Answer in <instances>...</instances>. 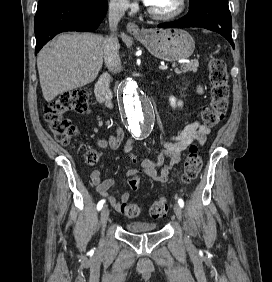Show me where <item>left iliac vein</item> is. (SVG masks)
Here are the masks:
<instances>
[{"mask_svg":"<svg viewBox=\"0 0 272 282\" xmlns=\"http://www.w3.org/2000/svg\"><path fill=\"white\" fill-rule=\"evenodd\" d=\"M173 209H174V212H175V215H176L177 219L179 221H181L182 215H183L182 214V208L180 207L179 204H175Z\"/></svg>","mask_w":272,"mask_h":282,"instance_id":"1","label":"left iliac vein"}]
</instances>
